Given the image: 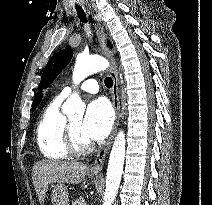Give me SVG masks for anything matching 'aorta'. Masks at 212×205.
Returning a JSON list of instances; mask_svg holds the SVG:
<instances>
[{
	"label": "aorta",
	"mask_w": 212,
	"mask_h": 205,
	"mask_svg": "<svg viewBox=\"0 0 212 205\" xmlns=\"http://www.w3.org/2000/svg\"><path fill=\"white\" fill-rule=\"evenodd\" d=\"M108 66L109 62L104 57L98 55H79L76 58V63L73 70V82L77 85L89 75L105 70ZM83 109L84 106L77 93L72 94L63 106V110L66 114L83 112ZM125 150V133L123 130H120L114 140L110 152L103 205H112L116 198L123 173Z\"/></svg>",
	"instance_id": "762f6f07"
}]
</instances>
